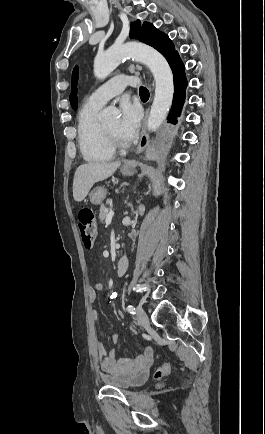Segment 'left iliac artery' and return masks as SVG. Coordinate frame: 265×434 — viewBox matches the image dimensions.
I'll return each instance as SVG.
<instances>
[{
    "label": "left iliac artery",
    "instance_id": "obj_1",
    "mask_svg": "<svg viewBox=\"0 0 265 434\" xmlns=\"http://www.w3.org/2000/svg\"><path fill=\"white\" fill-rule=\"evenodd\" d=\"M127 311H128L129 313L133 314V315L136 313V312H135V307L132 306V305H128V307H127Z\"/></svg>",
    "mask_w": 265,
    "mask_h": 434
}]
</instances>
